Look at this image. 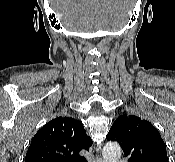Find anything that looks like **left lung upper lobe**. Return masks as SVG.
<instances>
[{"instance_id": "1", "label": "left lung upper lobe", "mask_w": 175, "mask_h": 162, "mask_svg": "<svg viewBox=\"0 0 175 162\" xmlns=\"http://www.w3.org/2000/svg\"><path fill=\"white\" fill-rule=\"evenodd\" d=\"M106 138L121 145L128 162H168L160 134L150 122L139 117H118Z\"/></svg>"}]
</instances>
